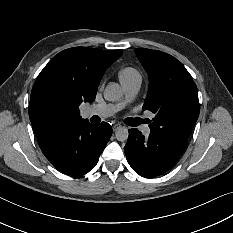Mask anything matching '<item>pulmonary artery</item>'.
Wrapping results in <instances>:
<instances>
[{
  "label": "pulmonary artery",
  "mask_w": 233,
  "mask_h": 233,
  "mask_svg": "<svg viewBox=\"0 0 233 233\" xmlns=\"http://www.w3.org/2000/svg\"><path fill=\"white\" fill-rule=\"evenodd\" d=\"M123 89L125 91V93L127 94L129 99L134 98L139 89L141 84L140 83H134V84H123ZM124 105V103H118V104H107V105H98V106H93L90 107L87 111V115L88 116H92V115H97L100 117H108L111 114H113L116 110L122 108ZM141 131L144 135L148 136L151 133V129L149 126L144 125L141 128Z\"/></svg>",
  "instance_id": "1"
}]
</instances>
